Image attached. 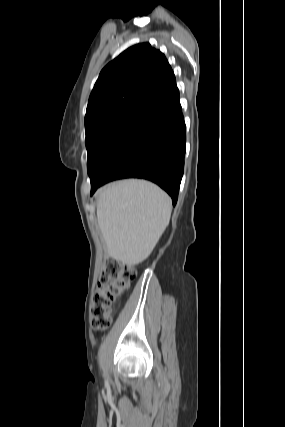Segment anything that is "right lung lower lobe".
<instances>
[{
	"label": "right lung lower lobe",
	"instance_id": "right-lung-lower-lobe-1",
	"mask_svg": "<svg viewBox=\"0 0 285 427\" xmlns=\"http://www.w3.org/2000/svg\"><path fill=\"white\" fill-rule=\"evenodd\" d=\"M185 123L179 90H170L150 103L122 137L91 179V195L101 185L122 178H143L178 198L184 171Z\"/></svg>",
	"mask_w": 285,
	"mask_h": 427
}]
</instances>
